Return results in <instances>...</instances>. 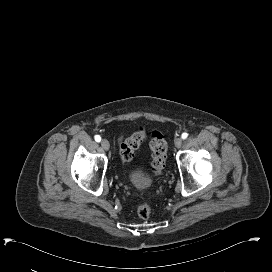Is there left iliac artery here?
Returning a JSON list of instances; mask_svg holds the SVG:
<instances>
[{
    "label": "left iliac artery",
    "mask_w": 272,
    "mask_h": 272,
    "mask_svg": "<svg viewBox=\"0 0 272 272\" xmlns=\"http://www.w3.org/2000/svg\"><path fill=\"white\" fill-rule=\"evenodd\" d=\"M181 137H182V139H186L188 137V134L186 132H184Z\"/></svg>",
    "instance_id": "1"
}]
</instances>
